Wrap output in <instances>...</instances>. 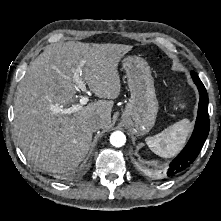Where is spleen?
Returning <instances> with one entry per match:
<instances>
[{"label": "spleen", "mask_w": 221, "mask_h": 221, "mask_svg": "<svg viewBox=\"0 0 221 221\" xmlns=\"http://www.w3.org/2000/svg\"><path fill=\"white\" fill-rule=\"evenodd\" d=\"M190 131V121L188 119H182L167 127L162 132L147 137L146 143L151 151L158 156L170 158L181 150Z\"/></svg>", "instance_id": "spleen-1"}]
</instances>
